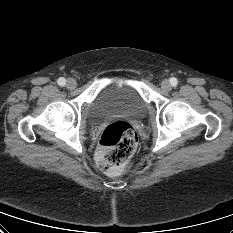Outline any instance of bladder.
I'll use <instances>...</instances> for the list:
<instances>
[{"label": "bladder", "mask_w": 233, "mask_h": 233, "mask_svg": "<svg viewBox=\"0 0 233 233\" xmlns=\"http://www.w3.org/2000/svg\"><path fill=\"white\" fill-rule=\"evenodd\" d=\"M147 103L132 82L112 83L102 88L91 102L88 117L98 123L115 115L141 118L146 114Z\"/></svg>", "instance_id": "bladder-1"}]
</instances>
